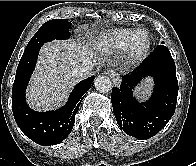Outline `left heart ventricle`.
<instances>
[{
  "instance_id": "obj_1",
  "label": "left heart ventricle",
  "mask_w": 196,
  "mask_h": 166,
  "mask_svg": "<svg viewBox=\"0 0 196 166\" xmlns=\"http://www.w3.org/2000/svg\"><path fill=\"white\" fill-rule=\"evenodd\" d=\"M145 41H146V37L144 34L142 33L137 34L132 40V45L135 48H141L145 44Z\"/></svg>"
}]
</instances>
